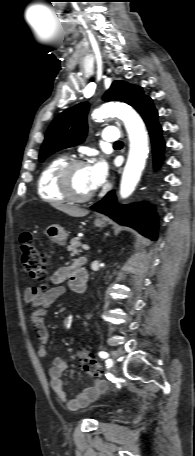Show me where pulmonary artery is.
I'll use <instances>...</instances> for the list:
<instances>
[{
  "instance_id": "pulmonary-artery-1",
  "label": "pulmonary artery",
  "mask_w": 195,
  "mask_h": 456,
  "mask_svg": "<svg viewBox=\"0 0 195 456\" xmlns=\"http://www.w3.org/2000/svg\"><path fill=\"white\" fill-rule=\"evenodd\" d=\"M119 131L115 127H108L102 132V139L105 142H117L119 141Z\"/></svg>"
}]
</instances>
